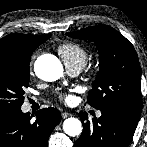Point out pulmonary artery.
<instances>
[{"label":"pulmonary artery","instance_id":"e3ab8cb5","mask_svg":"<svg viewBox=\"0 0 147 147\" xmlns=\"http://www.w3.org/2000/svg\"><path fill=\"white\" fill-rule=\"evenodd\" d=\"M68 69V72L71 74V75H77L81 68L80 67H77V66H72V67H67ZM97 116L100 117L101 116V112H97Z\"/></svg>","mask_w":147,"mask_h":147}]
</instances>
